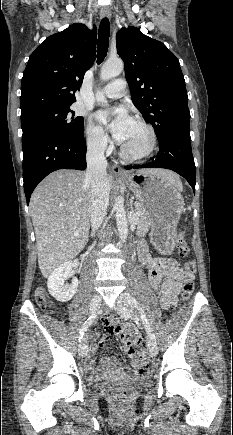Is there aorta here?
Segmentation results:
<instances>
[{
  "instance_id": "aorta-1",
  "label": "aorta",
  "mask_w": 233,
  "mask_h": 435,
  "mask_svg": "<svg viewBox=\"0 0 233 435\" xmlns=\"http://www.w3.org/2000/svg\"><path fill=\"white\" fill-rule=\"evenodd\" d=\"M124 64L121 59L116 60H108L101 68L100 71V79L102 81H107L111 78H114L121 74L123 71ZM97 100L100 102L105 101V97L101 93H97ZM115 218L116 224L119 232V237L121 242H125L128 236V222L124 207V198L122 196H118L115 200Z\"/></svg>"
}]
</instances>
